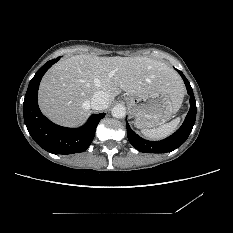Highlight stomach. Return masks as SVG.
Returning <instances> with one entry per match:
<instances>
[{"label":"stomach","mask_w":233,"mask_h":233,"mask_svg":"<svg viewBox=\"0 0 233 233\" xmlns=\"http://www.w3.org/2000/svg\"><path fill=\"white\" fill-rule=\"evenodd\" d=\"M129 112L139 129H150L166 123L178 111L179 106L166 92L125 97Z\"/></svg>","instance_id":"obj_1"}]
</instances>
